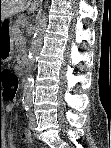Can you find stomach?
<instances>
[{
    "label": "stomach",
    "instance_id": "0dacf381",
    "mask_svg": "<svg viewBox=\"0 0 111 148\" xmlns=\"http://www.w3.org/2000/svg\"><path fill=\"white\" fill-rule=\"evenodd\" d=\"M11 19L0 20V62H8L13 55V40L10 33Z\"/></svg>",
    "mask_w": 111,
    "mask_h": 148
}]
</instances>
